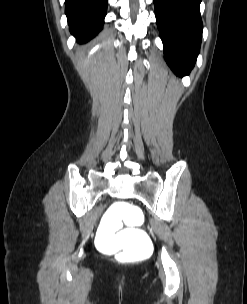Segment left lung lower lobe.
<instances>
[{"mask_svg": "<svg viewBox=\"0 0 247 304\" xmlns=\"http://www.w3.org/2000/svg\"><path fill=\"white\" fill-rule=\"evenodd\" d=\"M165 60L176 75H188L200 51L201 0H153Z\"/></svg>", "mask_w": 247, "mask_h": 304, "instance_id": "0a47b994", "label": "left lung lower lobe"}]
</instances>
